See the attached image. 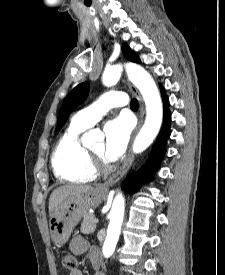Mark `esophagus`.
Listing matches in <instances>:
<instances>
[{
    "mask_svg": "<svg viewBox=\"0 0 225 275\" xmlns=\"http://www.w3.org/2000/svg\"><path fill=\"white\" fill-rule=\"evenodd\" d=\"M127 84L129 86L130 91L137 97V99L139 101V120H138V125L133 133V136H132V139H133L143 124L144 104H143L142 97H141L140 93L138 92V90L133 85H131L129 82H127ZM133 160H134V156L129 151V154H128L124 164L120 168V170L117 173H115L114 175H112L104 184L100 185V188L107 189L109 186L113 185L120 178H122L126 174V172L129 170V168L131 167Z\"/></svg>",
    "mask_w": 225,
    "mask_h": 275,
    "instance_id": "esophagus-1",
    "label": "esophagus"
}]
</instances>
